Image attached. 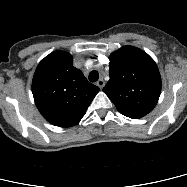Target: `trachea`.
Wrapping results in <instances>:
<instances>
[{
	"label": "trachea",
	"instance_id": "obj_1",
	"mask_svg": "<svg viewBox=\"0 0 187 187\" xmlns=\"http://www.w3.org/2000/svg\"><path fill=\"white\" fill-rule=\"evenodd\" d=\"M99 79V73L96 70H93L89 74V81L96 82Z\"/></svg>",
	"mask_w": 187,
	"mask_h": 187
}]
</instances>
